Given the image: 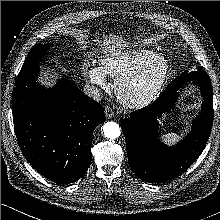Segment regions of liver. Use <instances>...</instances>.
<instances>
[{"instance_id": "liver-1", "label": "liver", "mask_w": 220, "mask_h": 220, "mask_svg": "<svg viewBox=\"0 0 220 220\" xmlns=\"http://www.w3.org/2000/svg\"><path fill=\"white\" fill-rule=\"evenodd\" d=\"M84 37H81L80 39V42L81 43H84ZM104 41L103 42L104 46H105V50L104 51H115V48H119V49H122L124 47H127L128 44L124 41V39L122 37H120L119 35H109V38L108 37H105L104 38ZM118 49V50H119ZM40 81L44 84V85H50L53 80L50 79V77H48V72H44L43 75L41 76L40 78Z\"/></svg>"}]
</instances>
